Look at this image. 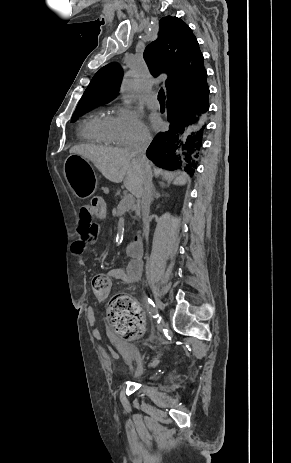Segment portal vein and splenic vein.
Returning <instances> with one entry per match:
<instances>
[{"label":"portal vein and splenic vein","mask_w":291,"mask_h":463,"mask_svg":"<svg viewBox=\"0 0 291 463\" xmlns=\"http://www.w3.org/2000/svg\"><path fill=\"white\" fill-rule=\"evenodd\" d=\"M134 204V197L131 194L124 195L123 199L118 204V208L122 209L123 211L129 210L133 207Z\"/></svg>","instance_id":"obj_1"}]
</instances>
